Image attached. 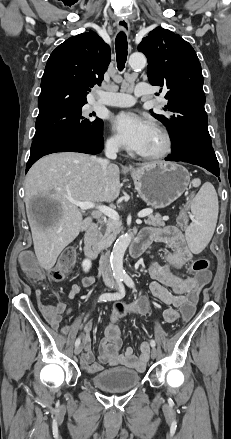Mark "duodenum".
Here are the masks:
<instances>
[{"instance_id":"duodenum-1","label":"duodenum","mask_w":231,"mask_h":439,"mask_svg":"<svg viewBox=\"0 0 231 439\" xmlns=\"http://www.w3.org/2000/svg\"><path fill=\"white\" fill-rule=\"evenodd\" d=\"M97 224L92 222L88 225L83 241L84 253L90 260H95L99 255V248L97 245ZM148 244L143 238H136L130 246V254L132 257H139L147 248Z\"/></svg>"}]
</instances>
